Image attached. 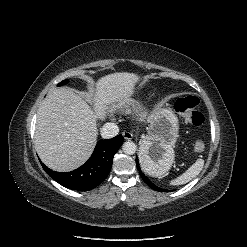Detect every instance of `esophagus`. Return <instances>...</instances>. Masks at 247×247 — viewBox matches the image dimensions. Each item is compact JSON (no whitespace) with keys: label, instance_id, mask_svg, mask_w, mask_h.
Wrapping results in <instances>:
<instances>
[{"label":"esophagus","instance_id":"obj_1","mask_svg":"<svg viewBox=\"0 0 247 247\" xmlns=\"http://www.w3.org/2000/svg\"><path fill=\"white\" fill-rule=\"evenodd\" d=\"M122 136L126 140H131L133 138V134L131 132H129V131L122 132Z\"/></svg>","mask_w":247,"mask_h":247}]
</instances>
